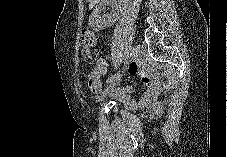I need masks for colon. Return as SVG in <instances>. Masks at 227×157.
<instances>
[{
	"mask_svg": "<svg viewBox=\"0 0 227 157\" xmlns=\"http://www.w3.org/2000/svg\"><path fill=\"white\" fill-rule=\"evenodd\" d=\"M81 43L83 46V54H84V61H85L83 70L85 73L89 74L94 61V55L91 53V49L97 44L96 33L90 29H83L81 32ZM90 81H91V75L87 79L88 85Z\"/></svg>",
	"mask_w": 227,
	"mask_h": 157,
	"instance_id": "colon-1",
	"label": "colon"
}]
</instances>
